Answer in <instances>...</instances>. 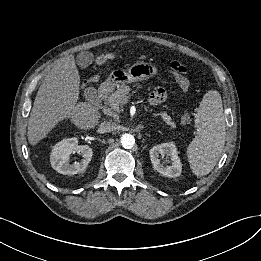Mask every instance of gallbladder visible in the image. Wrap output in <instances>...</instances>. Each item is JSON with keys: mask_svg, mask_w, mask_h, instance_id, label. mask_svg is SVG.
Returning a JSON list of instances; mask_svg holds the SVG:
<instances>
[{"mask_svg": "<svg viewBox=\"0 0 261 261\" xmlns=\"http://www.w3.org/2000/svg\"><path fill=\"white\" fill-rule=\"evenodd\" d=\"M92 60V54L81 53L77 57V62L82 69L87 68L89 64L92 63ZM85 98L89 103L95 105L97 102V95L95 94V90L93 88H88L85 93Z\"/></svg>", "mask_w": 261, "mask_h": 261, "instance_id": "bac80fb5", "label": "gallbladder"}]
</instances>
